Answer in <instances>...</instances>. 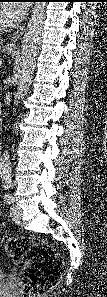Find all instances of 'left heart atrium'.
<instances>
[{"instance_id": "left-heart-atrium-1", "label": "left heart atrium", "mask_w": 107, "mask_h": 297, "mask_svg": "<svg viewBox=\"0 0 107 297\" xmlns=\"http://www.w3.org/2000/svg\"><path fill=\"white\" fill-rule=\"evenodd\" d=\"M26 5L23 3L10 4L5 11L7 20L10 23H15L19 21L26 13Z\"/></svg>"}]
</instances>
